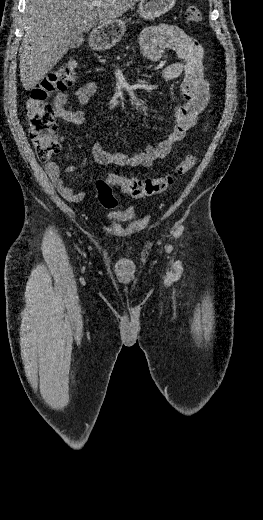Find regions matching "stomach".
Listing matches in <instances>:
<instances>
[{"instance_id": "stomach-1", "label": "stomach", "mask_w": 263, "mask_h": 520, "mask_svg": "<svg viewBox=\"0 0 263 520\" xmlns=\"http://www.w3.org/2000/svg\"><path fill=\"white\" fill-rule=\"evenodd\" d=\"M175 2L176 0H140L138 12L141 18L153 20L167 13ZM125 31L126 24L122 20L100 24L90 34V46L98 51L111 49L123 37Z\"/></svg>"}]
</instances>
